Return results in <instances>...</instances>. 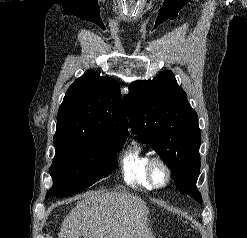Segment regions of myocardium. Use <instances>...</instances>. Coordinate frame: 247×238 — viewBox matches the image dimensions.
Listing matches in <instances>:
<instances>
[{
  "instance_id": "myocardium-1",
  "label": "myocardium",
  "mask_w": 247,
  "mask_h": 238,
  "mask_svg": "<svg viewBox=\"0 0 247 238\" xmlns=\"http://www.w3.org/2000/svg\"><path fill=\"white\" fill-rule=\"evenodd\" d=\"M158 167L162 168L165 172V179L163 182H158L155 178V170ZM146 175L149 183L153 188H164L170 183L172 179V170L169 164L163 158L152 157L148 161Z\"/></svg>"
}]
</instances>
